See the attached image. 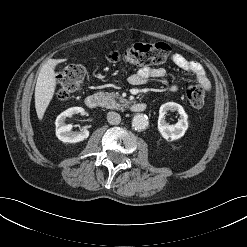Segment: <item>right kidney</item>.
<instances>
[{"instance_id": "right-kidney-1", "label": "right kidney", "mask_w": 247, "mask_h": 247, "mask_svg": "<svg viewBox=\"0 0 247 247\" xmlns=\"http://www.w3.org/2000/svg\"><path fill=\"white\" fill-rule=\"evenodd\" d=\"M83 112L84 109L82 107H71L58 115L55 125L56 136L59 140L63 142L76 143L88 138L89 131L87 129H82L79 132H73L71 131L72 125L65 123L67 117H72L74 114Z\"/></svg>"}]
</instances>
